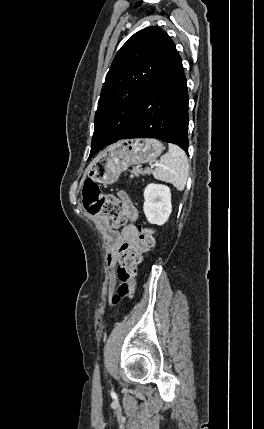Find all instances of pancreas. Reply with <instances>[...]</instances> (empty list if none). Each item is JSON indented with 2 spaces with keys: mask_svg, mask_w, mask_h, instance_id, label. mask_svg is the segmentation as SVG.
Instances as JSON below:
<instances>
[{
  "mask_svg": "<svg viewBox=\"0 0 264 429\" xmlns=\"http://www.w3.org/2000/svg\"><path fill=\"white\" fill-rule=\"evenodd\" d=\"M151 172H152V170L149 169V168H147L145 170H142L139 166H137V167H133V169L131 170V176L132 177L139 176L140 174H142V175H145V174L150 175Z\"/></svg>",
  "mask_w": 264,
  "mask_h": 429,
  "instance_id": "1",
  "label": "pancreas"
}]
</instances>
